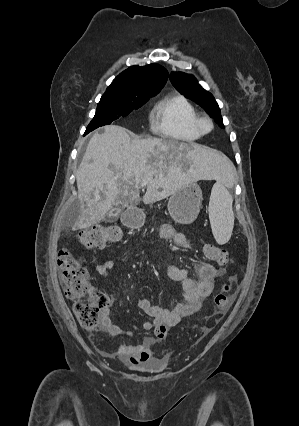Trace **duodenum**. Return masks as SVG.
Segmentation results:
<instances>
[{
    "label": "duodenum",
    "mask_w": 299,
    "mask_h": 426,
    "mask_svg": "<svg viewBox=\"0 0 299 426\" xmlns=\"http://www.w3.org/2000/svg\"><path fill=\"white\" fill-rule=\"evenodd\" d=\"M123 219L124 222L128 225L134 224L136 220L135 213L133 211H128L125 213Z\"/></svg>",
    "instance_id": "duodenum-1"
}]
</instances>
